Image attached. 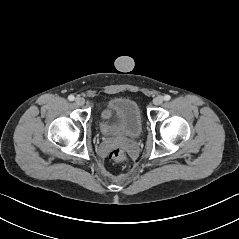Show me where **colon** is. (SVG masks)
I'll return each mask as SVG.
<instances>
[{
	"label": "colon",
	"mask_w": 239,
	"mask_h": 239,
	"mask_svg": "<svg viewBox=\"0 0 239 239\" xmlns=\"http://www.w3.org/2000/svg\"><path fill=\"white\" fill-rule=\"evenodd\" d=\"M109 158L119 164H126L129 160L128 155L125 150L122 148H116L114 149L110 155Z\"/></svg>",
	"instance_id": "colon-1"
}]
</instances>
